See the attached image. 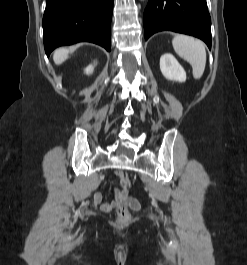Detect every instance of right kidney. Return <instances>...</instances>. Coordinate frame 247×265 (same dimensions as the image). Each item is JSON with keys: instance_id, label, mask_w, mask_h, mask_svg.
Masks as SVG:
<instances>
[{"instance_id": "ca27d5eb", "label": "right kidney", "mask_w": 247, "mask_h": 265, "mask_svg": "<svg viewBox=\"0 0 247 265\" xmlns=\"http://www.w3.org/2000/svg\"><path fill=\"white\" fill-rule=\"evenodd\" d=\"M94 70L93 65H89L86 69H85V73L86 74H91Z\"/></svg>"}]
</instances>
